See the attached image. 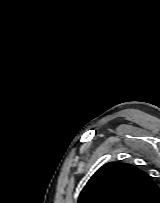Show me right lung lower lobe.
<instances>
[{
    "label": "right lung lower lobe",
    "mask_w": 160,
    "mask_h": 203,
    "mask_svg": "<svg viewBox=\"0 0 160 203\" xmlns=\"http://www.w3.org/2000/svg\"><path fill=\"white\" fill-rule=\"evenodd\" d=\"M159 196L156 198V200L154 201V203H160V191H159Z\"/></svg>",
    "instance_id": "right-lung-lower-lobe-1"
}]
</instances>
